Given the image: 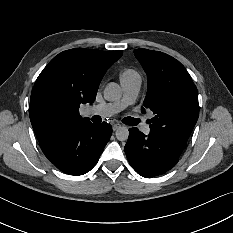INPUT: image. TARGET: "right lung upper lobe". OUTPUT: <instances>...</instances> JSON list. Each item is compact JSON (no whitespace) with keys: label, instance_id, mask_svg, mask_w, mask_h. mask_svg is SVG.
<instances>
[{"label":"right lung upper lobe","instance_id":"1","mask_svg":"<svg viewBox=\"0 0 233 233\" xmlns=\"http://www.w3.org/2000/svg\"><path fill=\"white\" fill-rule=\"evenodd\" d=\"M122 51L71 49L55 56L38 76L30 99V120L38 138L72 125L90 123L80 104L93 103L107 69Z\"/></svg>","mask_w":233,"mask_h":233}]
</instances>
